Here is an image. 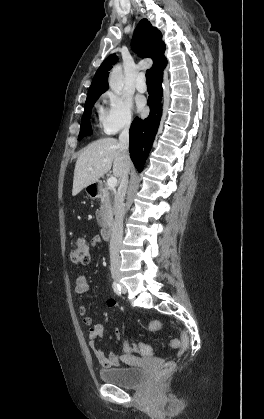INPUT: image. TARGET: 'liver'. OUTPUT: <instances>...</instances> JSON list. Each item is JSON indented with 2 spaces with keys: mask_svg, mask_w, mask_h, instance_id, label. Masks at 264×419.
Masks as SVG:
<instances>
[{
  "mask_svg": "<svg viewBox=\"0 0 264 419\" xmlns=\"http://www.w3.org/2000/svg\"><path fill=\"white\" fill-rule=\"evenodd\" d=\"M112 164L113 175L121 179L125 162L119 142L114 138H103L91 143L76 161L72 195L76 196L83 188L97 182L110 171ZM127 164L130 170L131 161Z\"/></svg>",
  "mask_w": 264,
  "mask_h": 419,
  "instance_id": "liver-1",
  "label": "liver"
}]
</instances>
